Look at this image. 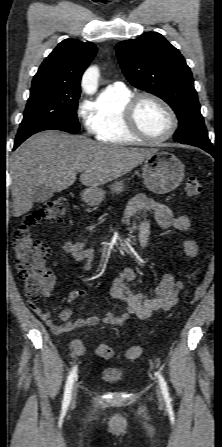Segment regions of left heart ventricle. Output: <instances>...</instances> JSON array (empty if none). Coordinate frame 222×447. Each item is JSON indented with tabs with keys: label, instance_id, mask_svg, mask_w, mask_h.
<instances>
[{
	"label": "left heart ventricle",
	"instance_id": "left-heart-ventricle-1",
	"mask_svg": "<svg viewBox=\"0 0 222 447\" xmlns=\"http://www.w3.org/2000/svg\"><path fill=\"white\" fill-rule=\"evenodd\" d=\"M137 121L141 129L154 138L164 136L171 126L168 113L159 104L149 99L140 103Z\"/></svg>",
	"mask_w": 222,
	"mask_h": 447
}]
</instances>
